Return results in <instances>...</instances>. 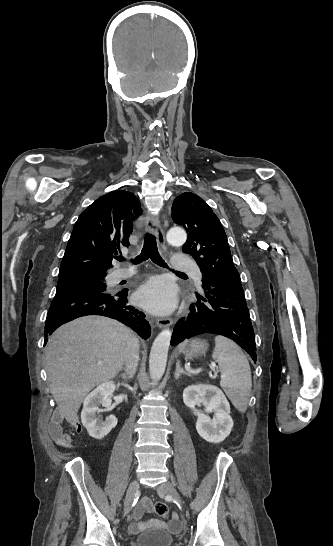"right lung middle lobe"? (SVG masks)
<instances>
[{
  "label": "right lung middle lobe",
  "mask_w": 333,
  "mask_h": 546,
  "mask_svg": "<svg viewBox=\"0 0 333 546\" xmlns=\"http://www.w3.org/2000/svg\"><path fill=\"white\" fill-rule=\"evenodd\" d=\"M105 276L106 275H93L59 280L57 284L56 295L87 290L105 292Z\"/></svg>",
  "instance_id": "obj_1"
}]
</instances>
